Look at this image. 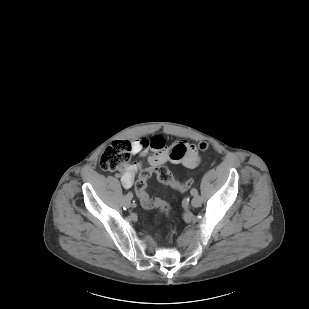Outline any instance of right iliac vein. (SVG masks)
<instances>
[{
    "mask_svg": "<svg viewBox=\"0 0 309 309\" xmlns=\"http://www.w3.org/2000/svg\"><path fill=\"white\" fill-rule=\"evenodd\" d=\"M132 199V198H131ZM131 199H126V197H125V199H124V204L126 205V206H131Z\"/></svg>",
    "mask_w": 309,
    "mask_h": 309,
    "instance_id": "1",
    "label": "right iliac vein"
}]
</instances>
